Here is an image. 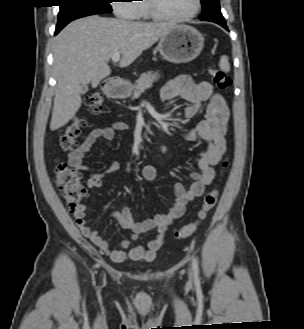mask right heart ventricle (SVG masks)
<instances>
[{
    "label": "right heart ventricle",
    "mask_w": 304,
    "mask_h": 329,
    "mask_svg": "<svg viewBox=\"0 0 304 329\" xmlns=\"http://www.w3.org/2000/svg\"><path fill=\"white\" fill-rule=\"evenodd\" d=\"M136 7H137V18H139V19H149L150 18L151 15H150L146 0H141V3L137 4Z\"/></svg>",
    "instance_id": "1"
}]
</instances>
